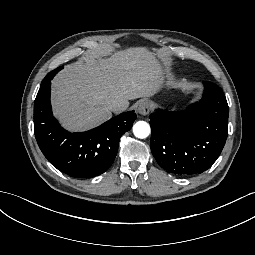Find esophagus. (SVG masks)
<instances>
[{
	"mask_svg": "<svg viewBox=\"0 0 255 255\" xmlns=\"http://www.w3.org/2000/svg\"><path fill=\"white\" fill-rule=\"evenodd\" d=\"M138 105L139 106H138L137 112L140 115H147L151 110V106L147 100L141 101Z\"/></svg>",
	"mask_w": 255,
	"mask_h": 255,
	"instance_id": "obj_1",
	"label": "esophagus"
}]
</instances>
